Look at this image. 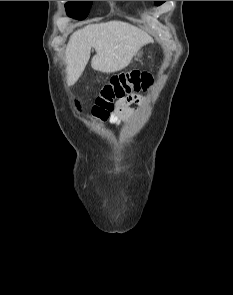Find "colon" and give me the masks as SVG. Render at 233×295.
Here are the masks:
<instances>
[{
    "mask_svg": "<svg viewBox=\"0 0 233 295\" xmlns=\"http://www.w3.org/2000/svg\"><path fill=\"white\" fill-rule=\"evenodd\" d=\"M151 83V75L141 71H131L113 76L95 99L91 111L93 118L99 121L107 119L115 108L114 101L116 99L136 98L140 92H145ZM76 105H79L78 102Z\"/></svg>",
    "mask_w": 233,
    "mask_h": 295,
    "instance_id": "obj_1",
    "label": "colon"
}]
</instances>
